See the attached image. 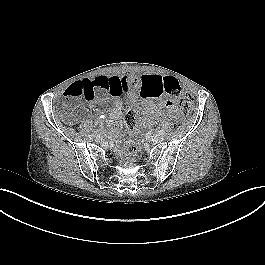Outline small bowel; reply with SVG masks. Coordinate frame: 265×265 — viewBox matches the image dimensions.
Returning a JSON list of instances; mask_svg holds the SVG:
<instances>
[{
  "instance_id": "1",
  "label": "small bowel",
  "mask_w": 265,
  "mask_h": 265,
  "mask_svg": "<svg viewBox=\"0 0 265 265\" xmlns=\"http://www.w3.org/2000/svg\"><path fill=\"white\" fill-rule=\"evenodd\" d=\"M163 77L164 76L159 73L144 74L140 77L98 75L89 80L92 82L105 81V92H109L113 97V107L109 111V120L106 121L105 125L110 127L114 121L121 118L123 104L120 97L123 100L130 101L132 104L137 102L138 95L136 94V90H139L140 96L143 98L139 109L144 114L151 111L174 110V105L164 100L161 95L152 97L153 92L156 90ZM103 126V122L97 121L96 127L98 129H102Z\"/></svg>"
}]
</instances>
